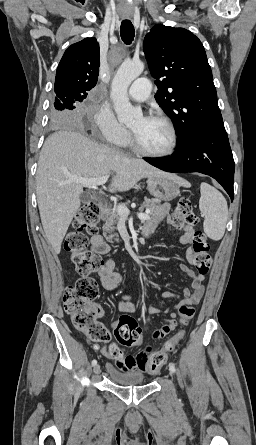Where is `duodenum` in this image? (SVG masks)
I'll use <instances>...</instances> for the list:
<instances>
[{
	"instance_id": "obj_1",
	"label": "duodenum",
	"mask_w": 256,
	"mask_h": 445,
	"mask_svg": "<svg viewBox=\"0 0 256 445\" xmlns=\"http://www.w3.org/2000/svg\"><path fill=\"white\" fill-rule=\"evenodd\" d=\"M108 213V207L105 205L100 206V216L105 217Z\"/></svg>"
}]
</instances>
